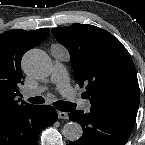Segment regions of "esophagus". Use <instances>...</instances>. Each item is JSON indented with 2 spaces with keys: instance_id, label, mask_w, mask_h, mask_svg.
<instances>
[{
  "instance_id": "1",
  "label": "esophagus",
  "mask_w": 145,
  "mask_h": 145,
  "mask_svg": "<svg viewBox=\"0 0 145 145\" xmlns=\"http://www.w3.org/2000/svg\"><path fill=\"white\" fill-rule=\"evenodd\" d=\"M58 118L59 119H68V113L58 111Z\"/></svg>"
}]
</instances>
